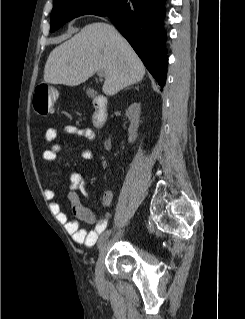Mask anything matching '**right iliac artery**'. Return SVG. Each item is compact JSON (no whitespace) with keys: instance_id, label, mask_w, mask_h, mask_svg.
Masks as SVG:
<instances>
[{"instance_id":"obj_1","label":"right iliac artery","mask_w":245,"mask_h":319,"mask_svg":"<svg viewBox=\"0 0 245 319\" xmlns=\"http://www.w3.org/2000/svg\"><path fill=\"white\" fill-rule=\"evenodd\" d=\"M107 233L110 235L111 234V230H108ZM99 248H100V246H99Z\"/></svg>"}]
</instances>
